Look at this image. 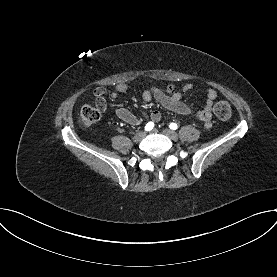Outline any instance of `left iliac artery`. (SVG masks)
Wrapping results in <instances>:
<instances>
[{"label":"left iliac artery","instance_id":"obj_1","mask_svg":"<svg viewBox=\"0 0 277 277\" xmlns=\"http://www.w3.org/2000/svg\"><path fill=\"white\" fill-rule=\"evenodd\" d=\"M169 127H170V129L175 130V129H177V124L176 123H171L169 125Z\"/></svg>","mask_w":277,"mask_h":277}]
</instances>
